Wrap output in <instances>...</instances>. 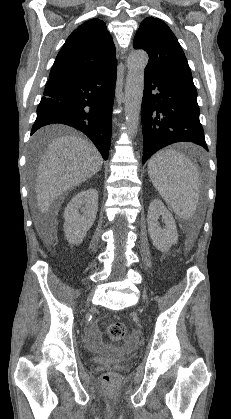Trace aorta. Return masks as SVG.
I'll use <instances>...</instances> for the list:
<instances>
[{"mask_svg": "<svg viewBox=\"0 0 231 419\" xmlns=\"http://www.w3.org/2000/svg\"><path fill=\"white\" fill-rule=\"evenodd\" d=\"M148 59V54L143 50H139L133 51L127 60L128 73L125 85L124 108L126 125L131 138L136 136L138 131L144 90V72Z\"/></svg>", "mask_w": 231, "mask_h": 419, "instance_id": "1", "label": "aorta"}]
</instances>
